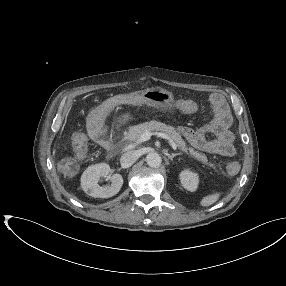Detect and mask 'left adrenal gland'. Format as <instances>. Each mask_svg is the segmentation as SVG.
<instances>
[{
    "mask_svg": "<svg viewBox=\"0 0 286 286\" xmlns=\"http://www.w3.org/2000/svg\"><path fill=\"white\" fill-rule=\"evenodd\" d=\"M178 155H181V153H172V154H167L168 158L173 161V158L178 156Z\"/></svg>",
    "mask_w": 286,
    "mask_h": 286,
    "instance_id": "a2214340",
    "label": "left adrenal gland"
}]
</instances>
